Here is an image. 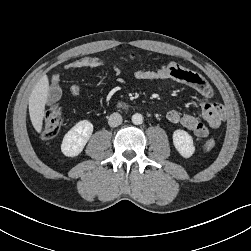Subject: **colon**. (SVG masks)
I'll use <instances>...</instances> for the list:
<instances>
[{
    "label": "colon",
    "instance_id": "obj_1",
    "mask_svg": "<svg viewBox=\"0 0 251 251\" xmlns=\"http://www.w3.org/2000/svg\"><path fill=\"white\" fill-rule=\"evenodd\" d=\"M135 58V55H132ZM62 126V113L60 109L55 106L45 114L41 127V136L44 139L54 138ZM215 147V141L213 139L207 140L204 143V149L207 151L212 150Z\"/></svg>",
    "mask_w": 251,
    "mask_h": 251
}]
</instances>
